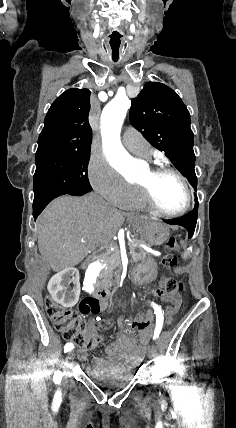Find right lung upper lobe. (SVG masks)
I'll use <instances>...</instances> for the list:
<instances>
[{
    "label": "right lung upper lobe",
    "mask_w": 236,
    "mask_h": 428,
    "mask_svg": "<svg viewBox=\"0 0 236 428\" xmlns=\"http://www.w3.org/2000/svg\"><path fill=\"white\" fill-rule=\"evenodd\" d=\"M89 96L88 89L72 88L54 101L45 117L37 152H90Z\"/></svg>",
    "instance_id": "obj_1"
}]
</instances>
